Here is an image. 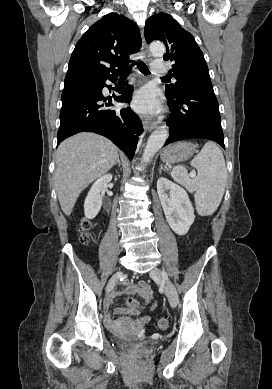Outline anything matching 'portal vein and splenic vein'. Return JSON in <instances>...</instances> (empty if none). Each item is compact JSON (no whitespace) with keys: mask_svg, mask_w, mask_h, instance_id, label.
Masks as SVG:
<instances>
[{"mask_svg":"<svg viewBox=\"0 0 272 389\" xmlns=\"http://www.w3.org/2000/svg\"><path fill=\"white\" fill-rule=\"evenodd\" d=\"M196 176V172L195 171H192L191 173H190V177H195Z\"/></svg>","mask_w":272,"mask_h":389,"instance_id":"portal-vein-and-splenic-vein-1","label":"portal vein and splenic vein"}]
</instances>
